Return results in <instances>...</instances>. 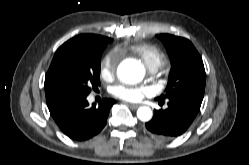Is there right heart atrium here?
<instances>
[{"mask_svg": "<svg viewBox=\"0 0 249 165\" xmlns=\"http://www.w3.org/2000/svg\"><path fill=\"white\" fill-rule=\"evenodd\" d=\"M118 60V52L116 50L110 51L101 62V75L103 77L110 75L116 66Z\"/></svg>", "mask_w": 249, "mask_h": 165, "instance_id": "obj_1", "label": "right heart atrium"}]
</instances>
